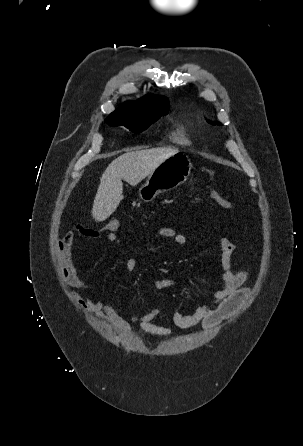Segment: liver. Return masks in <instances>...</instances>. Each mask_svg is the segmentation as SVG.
Listing matches in <instances>:
<instances>
[{"mask_svg":"<svg viewBox=\"0 0 303 446\" xmlns=\"http://www.w3.org/2000/svg\"><path fill=\"white\" fill-rule=\"evenodd\" d=\"M177 149L156 148L127 152L113 160L100 179L94 199L92 216L97 222L106 220L123 199L122 179L132 186L137 185Z\"/></svg>","mask_w":303,"mask_h":446,"instance_id":"liver-1","label":"liver"}]
</instances>
